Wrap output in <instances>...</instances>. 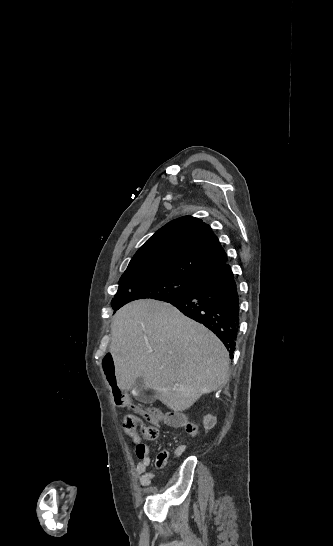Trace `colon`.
<instances>
[{
    "label": "colon",
    "mask_w": 333,
    "mask_h": 546,
    "mask_svg": "<svg viewBox=\"0 0 333 546\" xmlns=\"http://www.w3.org/2000/svg\"><path fill=\"white\" fill-rule=\"evenodd\" d=\"M103 370L109 379V385L113 391L114 401L118 407L129 408L142 414L144 417L154 413V410L139 407L132 397L124 391L118 390V385L114 377V357L112 354H106L102 360ZM152 423V422H151ZM137 426H140L141 435L147 440H154L158 437L159 431L154 423H143L136 415L128 414L123 421V428L130 436L136 433Z\"/></svg>",
    "instance_id": "colon-1"
}]
</instances>
